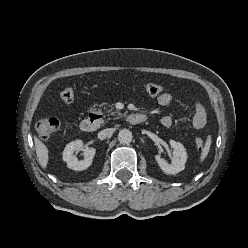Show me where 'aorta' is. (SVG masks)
I'll list each match as a JSON object with an SVG mask.
<instances>
[{
	"label": "aorta",
	"mask_w": 248,
	"mask_h": 248,
	"mask_svg": "<svg viewBox=\"0 0 248 248\" xmlns=\"http://www.w3.org/2000/svg\"><path fill=\"white\" fill-rule=\"evenodd\" d=\"M133 135L129 129H121L118 133V140L121 144H129L132 141Z\"/></svg>",
	"instance_id": "obj_1"
}]
</instances>
